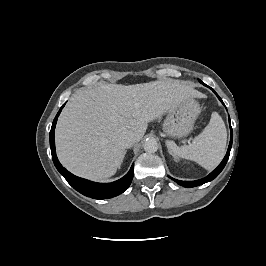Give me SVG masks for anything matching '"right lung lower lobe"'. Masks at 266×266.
Masks as SVG:
<instances>
[{"label":"right lung lower lobe","mask_w":266,"mask_h":266,"mask_svg":"<svg viewBox=\"0 0 266 266\" xmlns=\"http://www.w3.org/2000/svg\"><path fill=\"white\" fill-rule=\"evenodd\" d=\"M65 104L62 105L60 110L58 111L55 119L53 120L51 131H50V147L52 159L55 167L59 171V173L67 180V182L78 192L81 194L91 197L94 199H105L112 198L121 193H123L131 184L134 174V164L131 166L129 172L122 177L121 179L112 182V183H96L92 182L80 177H77L67 171L58 161L55 151V139H54V129L57 123V118L64 107Z\"/></svg>","instance_id":"1"}]
</instances>
